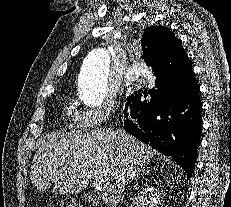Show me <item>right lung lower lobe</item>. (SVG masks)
<instances>
[{"label":"right lung lower lobe","mask_w":231,"mask_h":207,"mask_svg":"<svg viewBox=\"0 0 231 207\" xmlns=\"http://www.w3.org/2000/svg\"><path fill=\"white\" fill-rule=\"evenodd\" d=\"M155 27L147 28L142 40ZM154 75V89H140L127 98L122 116L125 130L171 157L190 178L202 127V104L192 66L154 70Z\"/></svg>","instance_id":"right-lung-lower-lobe-1"}]
</instances>
